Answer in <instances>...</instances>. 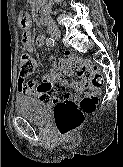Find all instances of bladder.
<instances>
[{
  "label": "bladder",
  "mask_w": 123,
  "mask_h": 167,
  "mask_svg": "<svg viewBox=\"0 0 123 167\" xmlns=\"http://www.w3.org/2000/svg\"><path fill=\"white\" fill-rule=\"evenodd\" d=\"M51 108V102L30 97H20L15 102L16 113L35 124H45Z\"/></svg>",
  "instance_id": "1"
}]
</instances>
